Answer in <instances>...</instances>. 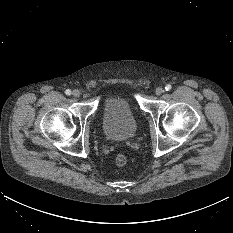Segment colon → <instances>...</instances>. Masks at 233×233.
<instances>
[{"label":"colon","instance_id":"5ec220e1","mask_svg":"<svg viewBox=\"0 0 233 233\" xmlns=\"http://www.w3.org/2000/svg\"><path fill=\"white\" fill-rule=\"evenodd\" d=\"M115 162L118 166H124L127 164L128 159L124 154H118L116 156Z\"/></svg>","mask_w":233,"mask_h":233}]
</instances>
